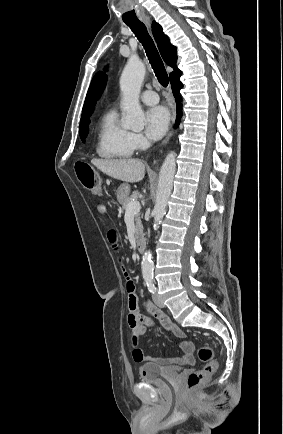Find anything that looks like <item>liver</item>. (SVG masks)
Wrapping results in <instances>:
<instances>
[{"mask_svg": "<svg viewBox=\"0 0 283 434\" xmlns=\"http://www.w3.org/2000/svg\"><path fill=\"white\" fill-rule=\"evenodd\" d=\"M91 163L106 175L124 182H140L145 175V165L138 159H92Z\"/></svg>", "mask_w": 283, "mask_h": 434, "instance_id": "6515ba94", "label": "liver"}]
</instances>
